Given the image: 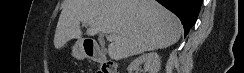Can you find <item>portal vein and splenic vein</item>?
<instances>
[{
  "instance_id": "18ae733b",
  "label": "portal vein and splenic vein",
  "mask_w": 244,
  "mask_h": 73,
  "mask_svg": "<svg viewBox=\"0 0 244 73\" xmlns=\"http://www.w3.org/2000/svg\"><path fill=\"white\" fill-rule=\"evenodd\" d=\"M106 38H107L108 41H113L115 36L112 35V34H109V35L106 36Z\"/></svg>"
}]
</instances>
